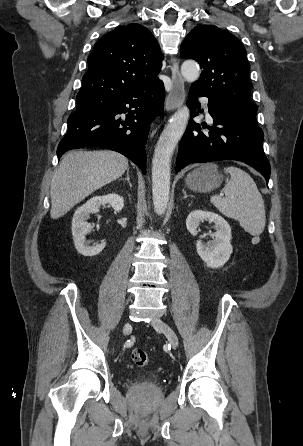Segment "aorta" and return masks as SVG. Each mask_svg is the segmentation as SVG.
Segmentation results:
<instances>
[{"mask_svg": "<svg viewBox=\"0 0 303 446\" xmlns=\"http://www.w3.org/2000/svg\"><path fill=\"white\" fill-rule=\"evenodd\" d=\"M181 73L186 81L194 82L200 76V68L194 61H185L181 66ZM189 117L187 106L175 112L155 147L152 160V195L154 210L158 215L165 213L169 202L171 157L184 134Z\"/></svg>", "mask_w": 303, "mask_h": 446, "instance_id": "obj_1", "label": "aorta"}]
</instances>
